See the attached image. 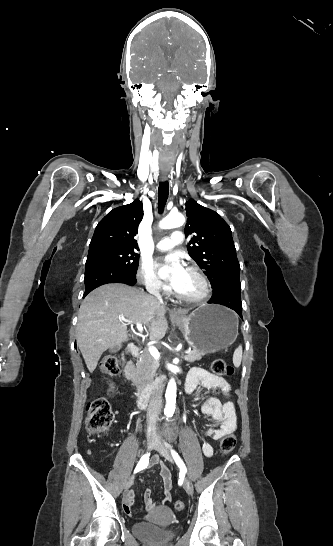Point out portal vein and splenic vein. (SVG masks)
Masks as SVG:
<instances>
[{
  "instance_id": "portal-vein-and-splenic-vein-1",
  "label": "portal vein and splenic vein",
  "mask_w": 333,
  "mask_h": 546,
  "mask_svg": "<svg viewBox=\"0 0 333 546\" xmlns=\"http://www.w3.org/2000/svg\"><path fill=\"white\" fill-rule=\"evenodd\" d=\"M120 319H122L123 321H125V322H127V323H129V324H135V325L137 326L139 332H140V333H139V336H143V335H142L143 326H142L141 323L133 322V321H131V320H127V319H123V318H120ZM148 351H149V353L153 356V358H154L156 361H158V360L160 359V353H159V351L157 350V348H156L155 346L149 345V346H148ZM185 353H186V354L191 353V350H188V351H186Z\"/></svg>"
}]
</instances>
